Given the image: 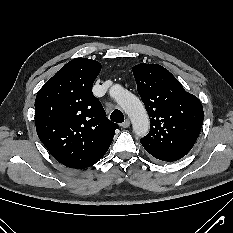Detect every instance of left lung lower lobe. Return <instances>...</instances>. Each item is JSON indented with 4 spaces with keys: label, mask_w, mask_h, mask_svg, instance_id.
Here are the masks:
<instances>
[{
    "label": "left lung lower lobe",
    "mask_w": 233,
    "mask_h": 233,
    "mask_svg": "<svg viewBox=\"0 0 233 233\" xmlns=\"http://www.w3.org/2000/svg\"><path fill=\"white\" fill-rule=\"evenodd\" d=\"M140 142L149 154H151L153 157L159 160H162V161L173 162L185 156L184 154L168 151V150L153 146L142 140H140Z\"/></svg>",
    "instance_id": "left-lung-lower-lobe-1"
}]
</instances>
